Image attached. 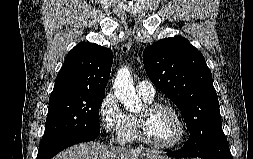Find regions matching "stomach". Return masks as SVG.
<instances>
[{"mask_svg": "<svg viewBox=\"0 0 253 159\" xmlns=\"http://www.w3.org/2000/svg\"><path fill=\"white\" fill-rule=\"evenodd\" d=\"M145 159H154V158H145ZM155 159H161V158H155Z\"/></svg>", "mask_w": 253, "mask_h": 159, "instance_id": "0dacf381", "label": "stomach"}]
</instances>
